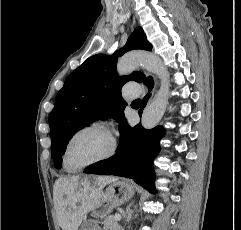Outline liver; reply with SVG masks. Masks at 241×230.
<instances>
[{"instance_id":"obj_1","label":"liver","mask_w":241,"mask_h":230,"mask_svg":"<svg viewBox=\"0 0 241 230\" xmlns=\"http://www.w3.org/2000/svg\"><path fill=\"white\" fill-rule=\"evenodd\" d=\"M117 177H96L94 182H78L77 177L55 181L53 198L58 220L63 230H78L85 215L99 203L103 188Z\"/></svg>"}]
</instances>
